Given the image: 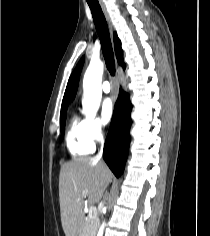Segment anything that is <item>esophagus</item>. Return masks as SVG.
I'll return each instance as SVG.
<instances>
[{"label":"esophagus","instance_id":"1","mask_svg":"<svg viewBox=\"0 0 210 236\" xmlns=\"http://www.w3.org/2000/svg\"><path fill=\"white\" fill-rule=\"evenodd\" d=\"M100 4H101L102 11H103V13H104V16H105V18H106V21H107V23H108L110 32H111V34H112V33H113V26H112V23H111V20H110V16H109V14H108V11H107L105 5H104L102 2H100ZM116 80H117V83H118V85H119V77H118V76H117Z\"/></svg>","mask_w":210,"mask_h":236}]
</instances>
